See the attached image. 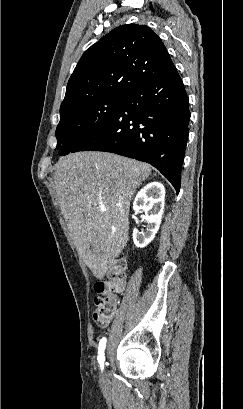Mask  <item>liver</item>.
Listing matches in <instances>:
<instances>
[{
  "label": "liver",
  "instance_id": "obj_1",
  "mask_svg": "<svg viewBox=\"0 0 243 409\" xmlns=\"http://www.w3.org/2000/svg\"><path fill=\"white\" fill-rule=\"evenodd\" d=\"M150 173L146 163L107 152L69 154L56 164L61 213L80 257L96 278L103 279L112 258L127 245L130 202Z\"/></svg>",
  "mask_w": 243,
  "mask_h": 409
}]
</instances>
